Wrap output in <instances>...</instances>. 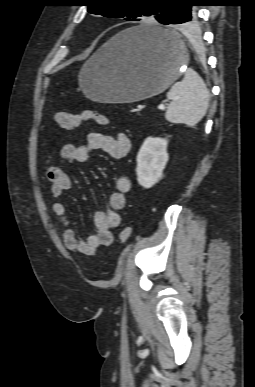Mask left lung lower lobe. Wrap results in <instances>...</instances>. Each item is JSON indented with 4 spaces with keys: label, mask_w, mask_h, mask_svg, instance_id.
Here are the masks:
<instances>
[{
    "label": "left lung lower lobe",
    "mask_w": 255,
    "mask_h": 387,
    "mask_svg": "<svg viewBox=\"0 0 255 387\" xmlns=\"http://www.w3.org/2000/svg\"><path fill=\"white\" fill-rule=\"evenodd\" d=\"M199 5L201 4H198V0H184L176 3L165 25L180 24L192 29L196 23V12L193 6ZM140 35L154 42H162L167 39L166 35L159 30L143 31Z\"/></svg>",
    "instance_id": "0a47b994"
}]
</instances>
